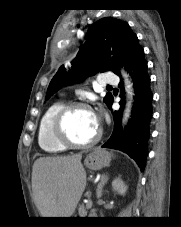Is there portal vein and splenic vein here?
I'll use <instances>...</instances> for the list:
<instances>
[{
    "label": "portal vein and splenic vein",
    "mask_w": 181,
    "mask_h": 227,
    "mask_svg": "<svg viewBox=\"0 0 181 227\" xmlns=\"http://www.w3.org/2000/svg\"><path fill=\"white\" fill-rule=\"evenodd\" d=\"M86 206H87V208H92V201L89 198V196H88V202H87Z\"/></svg>",
    "instance_id": "obj_1"
}]
</instances>
